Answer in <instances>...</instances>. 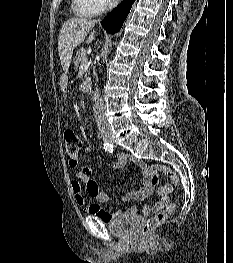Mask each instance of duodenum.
I'll return each instance as SVG.
<instances>
[{
  "mask_svg": "<svg viewBox=\"0 0 233 263\" xmlns=\"http://www.w3.org/2000/svg\"><path fill=\"white\" fill-rule=\"evenodd\" d=\"M82 79H83L82 86H83V89L85 90V92H92V86L89 85L92 82V79L89 78L88 75H83Z\"/></svg>",
  "mask_w": 233,
  "mask_h": 263,
  "instance_id": "obj_1",
  "label": "duodenum"
}]
</instances>
